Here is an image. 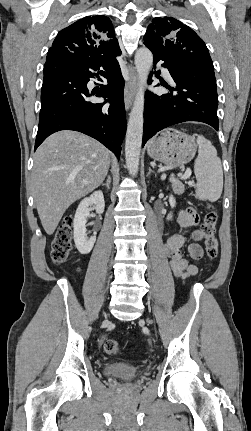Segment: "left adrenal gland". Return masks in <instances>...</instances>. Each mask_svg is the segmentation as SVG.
I'll list each match as a JSON object with an SVG mask.
<instances>
[{
	"label": "left adrenal gland",
	"mask_w": 251,
	"mask_h": 431,
	"mask_svg": "<svg viewBox=\"0 0 251 431\" xmlns=\"http://www.w3.org/2000/svg\"><path fill=\"white\" fill-rule=\"evenodd\" d=\"M151 172H153V170L151 169V167H149V172L147 175L149 176Z\"/></svg>",
	"instance_id": "a2214340"
}]
</instances>
